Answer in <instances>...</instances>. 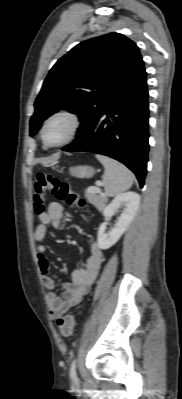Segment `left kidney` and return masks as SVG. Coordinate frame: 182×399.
Returning a JSON list of instances; mask_svg holds the SVG:
<instances>
[{
  "label": "left kidney",
  "mask_w": 182,
  "mask_h": 399,
  "mask_svg": "<svg viewBox=\"0 0 182 399\" xmlns=\"http://www.w3.org/2000/svg\"><path fill=\"white\" fill-rule=\"evenodd\" d=\"M140 203L138 193L129 191L116 196L112 202L107 205L103 211V216L109 219L120 207L123 208L115 227L106 232L107 223L100 225L98 230V246L102 250L112 247L127 230L133 221Z\"/></svg>",
  "instance_id": "1"
}]
</instances>
